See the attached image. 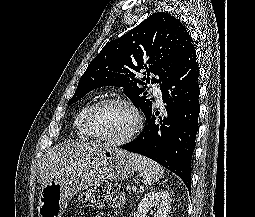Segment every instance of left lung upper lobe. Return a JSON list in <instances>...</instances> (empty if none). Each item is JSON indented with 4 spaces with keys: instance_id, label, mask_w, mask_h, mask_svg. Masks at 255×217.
Returning <instances> with one entry per match:
<instances>
[{
    "instance_id": "left-lung-upper-lobe-1",
    "label": "left lung upper lobe",
    "mask_w": 255,
    "mask_h": 217,
    "mask_svg": "<svg viewBox=\"0 0 255 217\" xmlns=\"http://www.w3.org/2000/svg\"><path fill=\"white\" fill-rule=\"evenodd\" d=\"M192 47L189 32L178 19L165 12L154 13L101 50L80 78L68 104L93 89L117 86L124 88L129 99L146 116L152 109V99L140 85L148 87L151 73L159 76V80L153 77L152 83L161 82ZM142 69H146L143 74L147 77L136 79Z\"/></svg>"
}]
</instances>
